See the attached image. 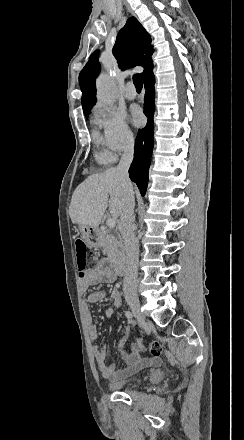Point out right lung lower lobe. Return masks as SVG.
I'll return each mask as SVG.
<instances>
[{
    "label": "right lung lower lobe",
    "mask_w": 244,
    "mask_h": 440,
    "mask_svg": "<svg viewBox=\"0 0 244 440\" xmlns=\"http://www.w3.org/2000/svg\"><path fill=\"white\" fill-rule=\"evenodd\" d=\"M146 94L144 98V113L148 117L147 125L140 129L135 142L134 160L129 169V177L135 182L142 196L145 195L148 184V170L153 150V113H154V83L153 69L144 77Z\"/></svg>",
    "instance_id": "right-lung-lower-lobe-1"
}]
</instances>
